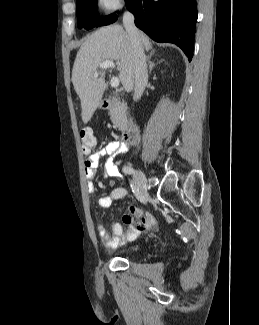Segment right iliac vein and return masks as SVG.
<instances>
[{"label":"right iliac vein","instance_id":"1","mask_svg":"<svg viewBox=\"0 0 259 325\" xmlns=\"http://www.w3.org/2000/svg\"><path fill=\"white\" fill-rule=\"evenodd\" d=\"M133 175L136 179L137 187H138L140 193L145 195L146 194V178H145L144 173L140 169L135 168Z\"/></svg>","mask_w":259,"mask_h":325}]
</instances>
